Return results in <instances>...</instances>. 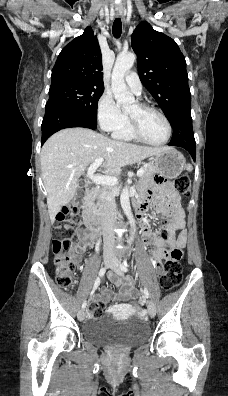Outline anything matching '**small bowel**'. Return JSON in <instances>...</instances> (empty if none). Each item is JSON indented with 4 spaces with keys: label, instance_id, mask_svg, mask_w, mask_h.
I'll return each instance as SVG.
<instances>
[{
    "label": "small bowel",
    "instance_id": "c3829d8e",
    "mask_svg": "<svg viewBox=\"0 0 228 396\" xmlns=\"http://www.w3.org/2000/svg\"><path fill=\"white\" fill-rule=\"evenodd\" d=\"M149 192L155 195L157 200V207L161 210L171 209V214L173 219L168 226L171 232L179 231L176 239L173 243L178 248H183L186 243V232L184 230V211L181 206V199L177 192L173 190L170 184L166 183L163 178L156 177L151 186L149 187ZM140 210L139 216L142 220H145L146 211L149 205V199L147 197L138 201ZM97 239V235L86 229L80 233V239L78 242L72 245L71 252L73 253V260L78 264L81 260L80 254L83 253L87 248L92 247ZM154 241L155 248L152 251V259L156 265L165 256V242L161 238H156L153 231L150 229H145L144 231V241L150 242ZM110 281L120 289L118 294L112 293V291L106 287L101 289L100 294L97 296L98 301L101 304H107L110 301L117 300L120 302H125L130 299H135L137 297V291L133 286V279L127 278L125 280L118 278L117 276L110 274ZM140 305L144 304L143 300H140Z\"/></svg>",
    "mask_w": 228,
    "mask_h": 396
}]
</instances>
